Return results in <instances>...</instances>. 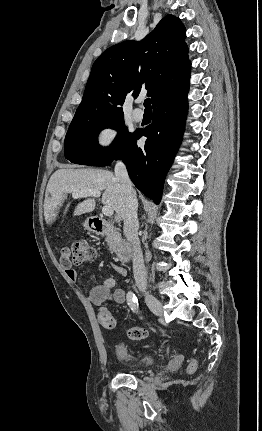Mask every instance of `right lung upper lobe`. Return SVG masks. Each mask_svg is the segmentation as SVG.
<instances>
[{
    "instance_id": "1",
    "label": "right lung upper lobe",
    "mask_w": 262,
    "mask_h": 431,
    "mask_svg": "<svg viewBox=\"0 0 262 431\" xmlns=\"http://www.w3.org/2000/svg\"><path fill=\"white\" fill-rule=\"evenodd\" d=\"M185 37L181 21L168 15L141 42L128 40L108 48L92 66L73 120L123 116L127 94L136 98L143 86L153 108L188 92L191 63Z\"/></svg>"
}]
</instances>
